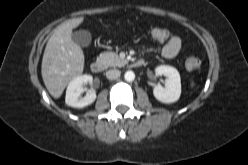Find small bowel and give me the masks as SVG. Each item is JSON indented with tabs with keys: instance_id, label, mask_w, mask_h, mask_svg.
<instances>
[{
	"instance_id": "small-bowel-1",
	"label": "small bowel",
	"mask_w": 248,
	"mask_h": 165,
	"mask_svg": "<svg viewBox=\"0 0 248 165\" xmlns=\"http://www.w3.org/2000/svg\"><path fill=\"white\" fill-rule=\"evenodd\" d=\"M181 39L177 36L169 38L162 49V56L166 59H172L176 57L181 49Z\"/></svg>"
}]
</instances>
